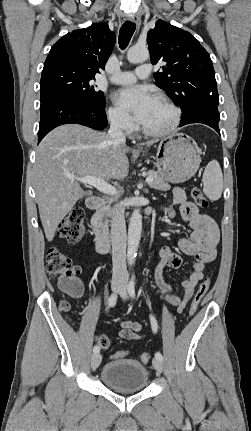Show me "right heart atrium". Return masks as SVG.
<instances>
[{
	"mask_svg": "<svg viewBox=\"0 0 251 431\" xmlns=\"http://www.w3.org/2000/svg\"><path fill=\"white\" fill-rule=\"evenodd\" d=\"M107 118L111 126L126 134L132 133L135 129V124L131 117L115 106L108 109Z\"/></svg>",
	"mask_w": 251,
	"mask_h": 431,
	"instance_id": "d8ad5b80",
	"label": "right heart atrium"
}]
</instances>
